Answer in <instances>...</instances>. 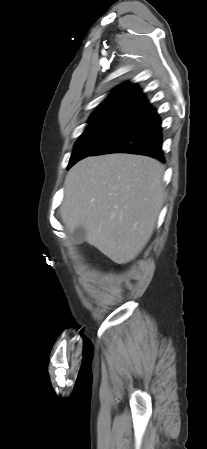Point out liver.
Returning <instances> with one entry per match:
<instances>
[{
    "instance_id": "6515ba94",
    "label": "liver",
    "mask_w": 207,
    "mask_h": 449,
    "mask_svg": "<svg viewBox=\"0 0 207 449\" xmlns=\"http://www.w3.org/2000/svg\"><path fill=\"white\" fill-rule=\"evenodd\" d=\"M163 165L150 157H87L68 172L60 207L69 231L82 226L86 241L117 264L146 246L164 202Z\"/></svg>"
}]
</instances>
